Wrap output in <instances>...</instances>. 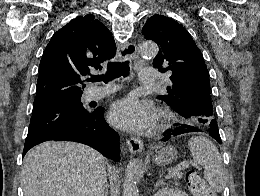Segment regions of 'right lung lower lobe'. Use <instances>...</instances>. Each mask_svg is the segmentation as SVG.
Segmentation results:
<instances>
[{"label": "right lung lower lobe", "mask_w": 260, "mask_h": 196, "mask_svg": "<svg viewBox=\"0 0 260 196\" xmlns=\"http://www.w3.org/2000/svg\"><path fill=\"white\" fill-rule=\"evenodd\" d=\"M104 109L99 107L95 109L91 116L78 124L61 127L26 138L23 156L33 146L49 141H74L86 144L104 156L120 161L119 136L105 121Z\"/></svg>", "instance_id": "right-lung-lower-lobe-1"}]
</instances>
